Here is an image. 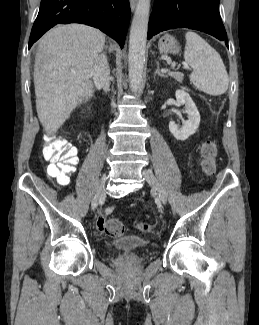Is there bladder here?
<instances>
[{"label":"bladder","instance_id":"obj_1","mask_svg":"<svg viewBox=\"0 0 259 325\" xmlns=\"http://www.w3.org/2000/svg\"><path fill=\"white\" fill-rule=\"evenodd\" d=\"M148 244L141 238L135 236H125L118 238L109 245L111 250L135 251L147 248Z\"/></svg>","mask_w":259,"mask_h":325}]
</instances>
